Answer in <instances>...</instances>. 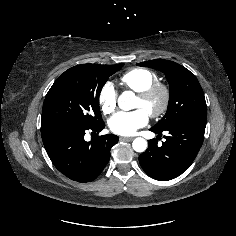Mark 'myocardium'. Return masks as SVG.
Listing matches in <instances>:
<instances>
[{
	"instance_id": "f54148a6",
	"label": "myocardium",
	"mask_w": 236,
	"mask_h": 236,
	"mask_svg": "<svg viewBox=\"0 0 236 236\" xmlns=\"http://www.w3.org/2000/svg\"><path fill=\"white\" fill-rule=\"evenodd\" d=\"M138 97L145 102L150 101L154 97H160V106L157 109L148 112L152 118H159L163 116L169 108L171 92L170 88L166 84L156 83L139 92Z\"/></svg>"
}]
</instances>
